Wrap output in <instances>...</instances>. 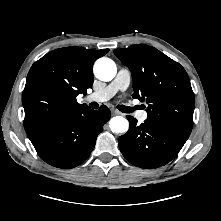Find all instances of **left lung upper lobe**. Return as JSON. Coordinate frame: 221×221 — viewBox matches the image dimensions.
Returning <instances> with one entry per match:
<instances>
[{"mask_svg": "<svg viewBox=\"0 0 221 221\" xmlns=\"http://www.w3.org/2000/svg\"><path fill=\"white\" fill-rule=\"evenodd\" d=\"M133 79V97L146 101L147 119L190 135L195 97L185 69L154 47L115 49Z\"/></svg>", "mask_w": 221, "mask_h": 221, "instance_id": "5c2ea615", "label": "left lung upper lobe"}]
</instances>
